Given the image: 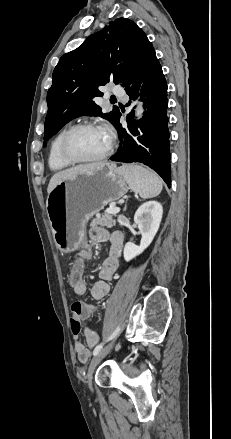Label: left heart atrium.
Returning <instances> with one entry per match:
<instances>
[{
    "instance_id": "1",
    "label": "left heart atrium",
    "mask_w": 231,
    "mask_h": 439,
    "mask_svg": "<svg viewBox=\"0 0 231 439\" xmlns=\"http://www.w3.org/2000/svg\"><path fill=\"white\" fill-rule=\"evenodd\" d=\"M105 131L107 132V134H108V135H110V134H111V130H110V128H108V127H107V128H105Z\"/></svg>"
}]
</instances>
